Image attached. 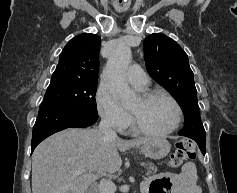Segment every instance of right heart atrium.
Here are the masks:
<instances>
[{
	"label": "right heart atrium",
	"instance_id": "obj_1",
	"mask_svg": "<svg viewBox=\"0 0 237 193\" xmlns=\"http://www.w3.org/2000/svg\"><path fill=\"white\" fill-rule=\"evenodd\" d=\"M96 105L99 116L109 127L116 131H124L127 128L128 113L105 86H100L96 92Z\"/></svg>",
	"mask_w": 237,
	"mask_h": 193
}]
</instances>
